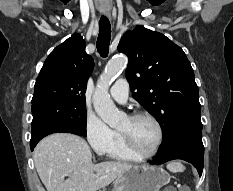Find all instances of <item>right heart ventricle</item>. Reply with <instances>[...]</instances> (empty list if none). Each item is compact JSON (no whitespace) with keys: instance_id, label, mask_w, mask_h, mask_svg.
Returning a JSON list of instances; mask_svg holds the SVG:
<instances>
[{"instance_id":"right-heart-ventricle-1","label":"right heart ventricle","mask_w":233,"mask_h":191,"mask_svg":"<svg viewBox=\"0 0 233 191\" xmlns=\"http://www.w3.org/2000/svg\"><path fill=\"white\" fill-rule=\"evenodd\" d=\"M108 155L110 158L120 161H140L142 159L127 148L122 136L119 133L117 142Z\"/></svg>"}]
</instances>
